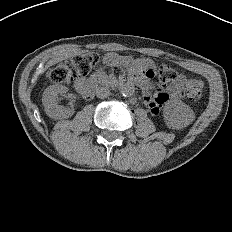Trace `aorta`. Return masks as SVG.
<instances>
[{"instance_id":"obj_1","label":"aorta","mask_w":232,"mask_h":232,"mask_svg":"<svg viewBox=\"0 0 232 232\" xmlns=\"http://www.w3.org/2000/svg\"><path fill=\"white\" fill-rule=\"evenodd\" d=\"M120 93L124 97H131L135 93V87L131 84H125L120 88Z\"/></svg>"}]
</instances>
